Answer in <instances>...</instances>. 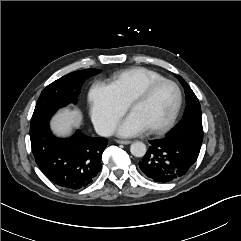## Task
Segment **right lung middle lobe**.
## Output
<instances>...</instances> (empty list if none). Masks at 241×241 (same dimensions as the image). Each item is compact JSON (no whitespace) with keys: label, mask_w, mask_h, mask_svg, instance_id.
I'll use <instances>...</instances> for the list:
<instances>
[{"label":"right lung middle lobe","mask_w":241,"mask_h":241,"mask_svg":"<svg viewBox=\"0 0 241 241\" xmlns=\"http://www.w3.org/2000/svg\"><path fill=\"white\" fill-rule=\"evenodd\" d=\"M100 72L99 69L75 71L48 85L36 103L30 124V134L47 124L59 108L69 103L75 104L84 81Z\"/></svg>","instance_id":"right-lung-middle-lobe-1"}]
</instances>
